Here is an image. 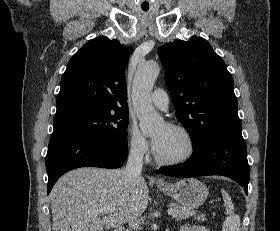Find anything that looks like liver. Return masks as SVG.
I'll list each match as a JSON object with an SVG mask.
<instances>
[{
  "instance_id": "obj_1",
  "label": "liver",
  "mask_w": 280,
  "mask_h": 231,
  "mask_svg": "<svg viewBox=\"0 0 280 231\" xmlns=\"http://www.w3.org/2000/svg\"><path fill=\"white\" fill-rule=\"evenodd\" d=\"M144 177H128L124 169L78 167L62 175L51 193L53 231H104L137 221L150 199ZM112 207L107 215L96 213Z\"/></svg>"
}]
</instances>
